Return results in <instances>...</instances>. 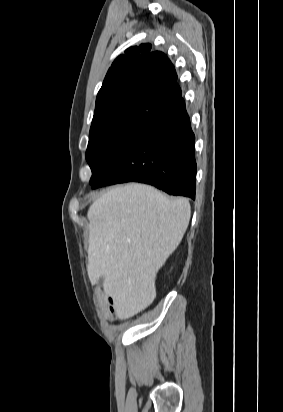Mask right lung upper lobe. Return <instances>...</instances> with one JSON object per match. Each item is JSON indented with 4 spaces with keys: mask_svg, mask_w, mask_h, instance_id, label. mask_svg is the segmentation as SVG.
Instances as JSON below:
<instances>
[{
    "mask_svg": "<svg viewBox=\"0 0 283 412\" xmlns=\"http://www.w3.org/2000/svg\"><path fill=\"white\" fill-rule=\"evenodd\" d=\"M150 49V44L131 47L113 62L98 92L93 121L131 108L164 111L181 96L170 60Z\"/></svg>",
    "mask_w": 283,
    "mask_h": 412,
    "instance_id": "obj_1",
    "label": "right lung upper lobe"
}]
</instances>
